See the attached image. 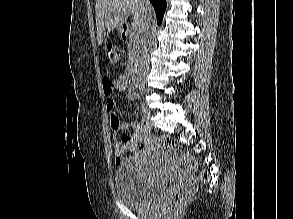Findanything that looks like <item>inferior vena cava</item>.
<instances>
[{
  "mask_svg": "<svg viewBox=\"0 0 293 219\" xmlns=\"http://www.w3.org/2000/svg\"><path fill=\"white\" fill-rule=\"evenodd\" d=\"M145 5L150 7L149 0H145ZM150 22L146 23L140 37V50H139V65L136 71L137 77L142 79L149 70V58H148V43L150 36Z\"/></svg>",
  "mask_w": 293,
  "mask_h": 219,
  "instance_id": "obj_1",
  "label": "inferior vena cava"
}]
</instances>
